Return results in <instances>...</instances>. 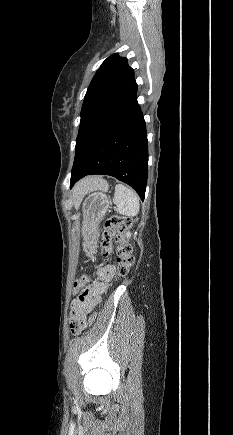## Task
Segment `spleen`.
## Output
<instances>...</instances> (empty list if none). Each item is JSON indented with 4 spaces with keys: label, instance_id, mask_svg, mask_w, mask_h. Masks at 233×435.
Masks as SVG:
<instances>
[{
    "label": "spleen",
    "instance_id": "1",
    "mask_svg": "<svg viewBox=\"0 0 233 435\" xmlns=\"http://www.w3.org/2000/svg\"><path fill=\"white\" fill-rule=\"evenodd\" d=\"M113 203L117 213L124 216H136L140 210L139 197L136 192L123 184L115 187Z\"/></svg>",
    "mask_w": 233,
    "mask_h": 435
}]
</instances>
